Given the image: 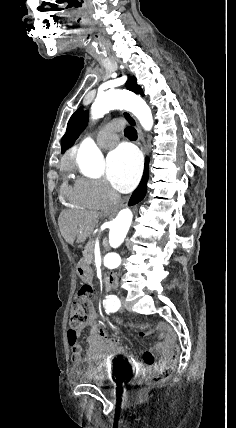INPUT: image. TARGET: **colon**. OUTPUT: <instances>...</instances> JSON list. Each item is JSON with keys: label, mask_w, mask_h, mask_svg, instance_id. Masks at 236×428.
<instances>
[{"label": "colon", "mask_w": 236, "mask_h": 428, "mask_svg": "<svg viewBox=\"0 0 236 428\" xmlns=\"http://www.w3.org/2000/svg\"><path fill=\"white\" fill-rule=\"evenodd\" d=\"M93 295V288L89 285L81 286L74 298V302L70 312V329L68 331V340L71 344H75L77 341V329L85 322L86 312L90 305V298ZM120 325L133 327L139 329L142 334H149L154 332L156 329L149 326H141L136 324H124ZM165 344L169 350V361L162 366L157 372L149 375L146 379L149 385H158L167 381L173 374L175 365L180 357V348L175 340L167 335L161 333Z\"/></svg>", "instance_id": "1"}]
</instances>
